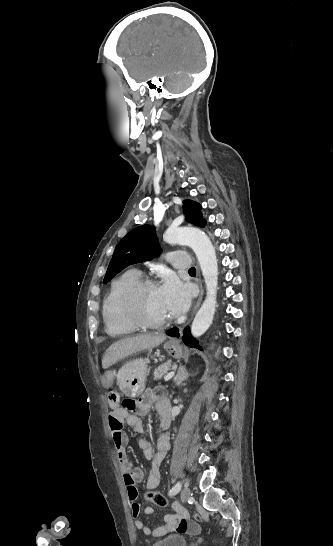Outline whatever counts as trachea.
I'll use <instances>...</instances> for the list:
<instances>
[{"instance_id":"3493384b","label":"trachea","mask_w":333,"mask_h":546,"mask_svg":"<svg viewBox=\"0 0 333 546\" xmlns=\"http://www.w3.org/2000/svg\"><path fill=\"white\" fill-rule=\"evenodd\" d=\"M195 272H196V269L194 267L189 269V273H195Z\"/></svg>"}]
</instances>
